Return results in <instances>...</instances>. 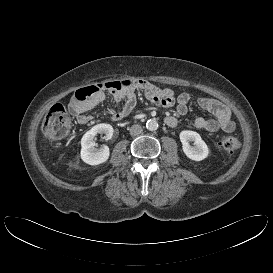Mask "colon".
<instances>
[{
  "label": "colon",
  "instance_id": "1",
  "mask_svg": "<svg viewBox=\"0 0 273 273\" xmlns=\"http://www.w3.org/2000/svg\"><path fill=\"white\" fill-rule=\"evenodd\" d=\"M130 81H113L100 85H91L78 89L72 101L82 102L91 98L99 89H120L130 86ZM72 119L66 108L57 103L53 105L42 122V133L45 139L55 141L64 139L71 130ZM222 149L233 152L240 147V141L236 137L225 136L219 141Z\"/></svg>",
  "mask_w": 273,
  "mask_h": 273
}]
</instances>
